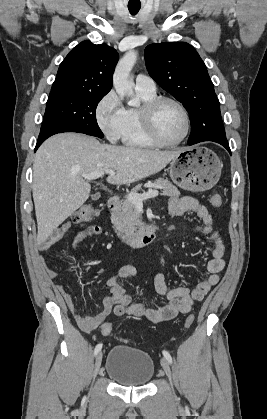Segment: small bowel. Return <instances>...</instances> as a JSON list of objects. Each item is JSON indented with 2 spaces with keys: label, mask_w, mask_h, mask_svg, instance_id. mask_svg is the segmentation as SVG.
I'll use <instances>...</instances> for the list:
<instances>
[{
  "label": "small bowel",
  "mask_w": 267,
  "mask_h": 419,
  "mask_svg": "<svg viewBox=\"0 0 267 419\" xmlns=\"http://www.w3.org/2000/svg\"><path fill=\"white\" fill-rule=\"evenodd\" d=\"M169 214L172 217H182L193 212L201 220V224L195 229L208 236L213 242L211 251L212 258L206 266L205 277L197 283L194 289L180 286L169 288L167 274L158 273L154 278L156 292L166 297L168 303L159 309H151L145 303H133L122 287V282L136 275V268L131 265L120 267L115 274L109 277L106 284L110 290L102 302V309L94 316H83L77 312L72 296L61 284L55 285L56 290L65 301L69 310L73 313L79 327L85 332H91L101 326L110 314L116 316H132L135 318H146L154 323L168 321L180 314L190 312L195 301L202 300L210 289L215 286L225 268V246L218 231L215 230L212 217L206 206L193 197L171 198L169 201ZM72 227L71 222H65L57 227L50 236L41 243L40 251H45L59 242ZM103 234V228L99 225H89L81 229L74 237L72 247L76 249L84 240L92 236ZM43 266L50 278H55L57 273L44 263Z\"/></svg>",
  "instance_id": "obj_1"
}]
</instances>
